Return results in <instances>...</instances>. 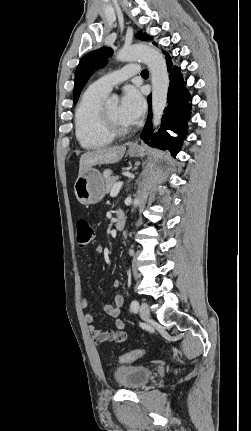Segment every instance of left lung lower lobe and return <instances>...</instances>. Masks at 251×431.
<instances>
[{
  "label": "left lung lower lobe",
  "instance_id": "left-lung-lower-lobe-1",
  "mask_svg": "<svg viewBox=\"0 0 251 431\" xmlns=\"http://www.w3.org/2000/svg\"><path fill=\"white\" fill-rule=\"evenodd\" d=\"M153 44L157 46L155 42ZM164 54L166 55L170 86L168 89V106L164 111L165 114L163 115L162 127L156 134H151L152 112L151 96H149V115L140 138L150 146H156L161 149H169L172 155L176 156L180 150L182 140L187 134V122L191 117V104L189 103L191 97L186 88V82L184 81L180 72L181 69L177 66H173L171 57L167 52H164ZM166 129L172 130L179 136H170L166 132Z\"/></svg>",
  "mask_w": 251,
  "mask_h": 431
}]
</instances>
